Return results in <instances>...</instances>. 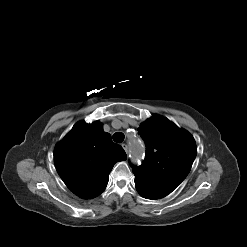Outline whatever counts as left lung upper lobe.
Returning <instances> with one entry per match:
<instances>
[{
  "mask_svg": "<svg viewBox=\"0 0 247 247\" xmlns=\"http://www.w3.org/2000/svg\"><path fill=\"white\" fill-rule=\"evenodd\" d=\"M146 144L140 166H131L135 186L160 199L170 194L188 175L197 154L193 136L168 119L153 115L138 128Z\"/></svg>",
  "mask_w": 247,
  "mask_h": 247,
  "instance_id": "obj_1",
  "label": "left lung upper lobe"
}]
</instances>
